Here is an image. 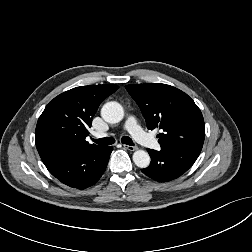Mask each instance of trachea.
Segmentation results:
<instances>
[{"instance_id": "3493384b", "label": "trachea", "mask_w": 252, "mask_h": 252, "mask_svg": "<svg viewBox=\"0 0 252 252\" xmlns=\"http://www.w3.org/2000/svg\"><path fill=\"white\" fill-rule=\"evenodd\" d=\"M93 142H95L98 145L101 146H108V145H112L113 143H115V139L112 137H105V138H100V139H92ZM122 143L126 144V145H130L133 146L134 143L132 141L131 138L127 137V136H123L121 138Z\"/></svg>"}]
</instances>
